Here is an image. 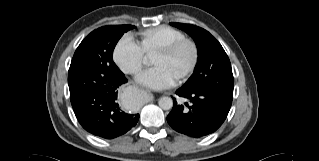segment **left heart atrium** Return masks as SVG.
I'll return each instance as SVG.
<instances>
[{"mask_svg": "<svg viewBox=\"0 0 319 161\" xmlns=\"http://www.w3.org/2000/svg\"><path fill=\"white\" fill-rule=\"evenodd\" d=\"M137 80L153 89H166L174 85L175 79L162 67L154 66L141 72Z\"/></svg>", "mask_w": 319, "mask_h": 161, "instance_id": "1", "label": "left heart atrium"}]
</instances>
